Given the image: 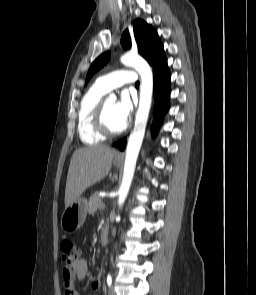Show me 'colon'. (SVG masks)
I'll list each match as a JSON object with an SVG mask.
<instances>
[{"mask_svg": "<svg viewBox=\"0 0 256 295\" xmlns=\"http://www.w3.org/2000/svg\"><path fill=\"white\" fill-rule=\"evenodd\" d=\"M79 248L72 240H64L61 243V264L68 268L79 258Z\"/></svg>", "mask_w": 256, "mask_h": 295, "instance_id": "5ec220e1", "label": "colon"}]
</instances>
